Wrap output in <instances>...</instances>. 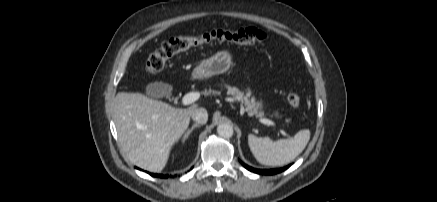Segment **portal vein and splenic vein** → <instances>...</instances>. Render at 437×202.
Masks as SVG:
<instances>
[{
  "instance_id": "1",
  "label": "portal vein and splenic vein",
  "mask_w": 437,
  "mask_h": 202,
  "mask_svg": "<svg viewBox=\"0 0 437 202\" xmlns=\"http://www.w3.org/2000/svg\"><path fill=\"white\" fill-rule=\"evenodd\" d=\"M198 99H199V93L190 92V93H187L186 95H184V97L182 98V104L186 106V105L194 103ZM260 122L267 125V126H272V127L276 128V124L269 119L261 118ZM280 132L282 134H285V132L283 130H280Z\"/></svg>"
}]
</instances>
